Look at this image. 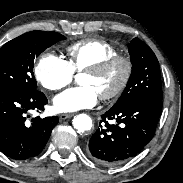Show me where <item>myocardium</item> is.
<instances>
[{
    "label": "myocardium",
    "instance_id": "1",
    "mask_svg": "<svg viewBox=\"0 0 183 183\" xmlns=\"http://www.w3.org/2000/svg\"><path fill=\"white\" fill-rule=\"evenodd\" d=\"M118 63L124 67L123 76L115 88L100 95V99L103 101H109L119 97L127 88L133 73L132 60L125 55L115 54L83 70L86 74L100 75Z\"/></svg>",
    "mask_w": 183,
    "mask_h": 183
}]
</instances>
